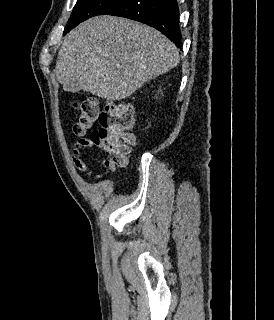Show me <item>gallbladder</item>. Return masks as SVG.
Listing matches in <instances>:
<instances>
[{
	"mask_svg": "<svg viewBox=\"0 0 274 320\" xmlns=\"http://www.w3.org/2000/svg\"><path fill=\"white\" fill-rule=\"evenodd\" d=\"M68 83H69V89L73 90V94H78V83H79L78 78H69Z\"/></svg>",
	"mask_w": 274,
	"mask_h": 320,
	"instance_id": "gallbladder-1",
	"label": "gallbladder"
}]
</instances>
